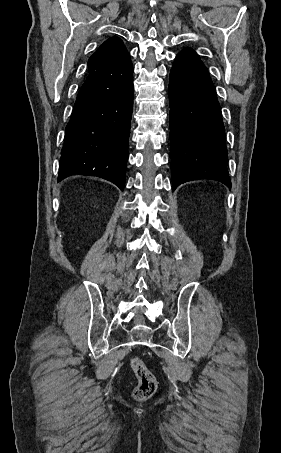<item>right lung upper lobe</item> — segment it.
Returning a JSON list of instances; mask_svg holds the SVG:
<instances>
[{
	"label": "right lung upper lobe",
	"instance_id": "obj_1",
	"mask_svg": "<svg viewBox=\"0 0 281 453\" xmlns=\"http://www.w3.org/2000/svg\"><path fill=\"white\" fill-rule=\"evenodd\" d=\"M127 49L123 41L118 37H112L106 40L98 50L90 57L88 61L89 73L94 72L108 65Z\"/></svg>",
	"mask_w": 281,
	"mask_h": 453
}]
</instances>
